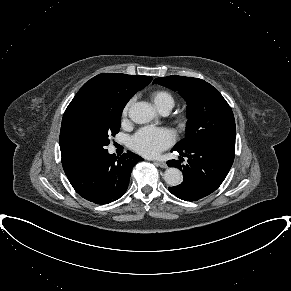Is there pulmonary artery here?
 <instances>
[{"label":"pulmonary artery","mask_w":291,"mask_h":291,"mask_svg":"<svg viewBox=\"0 0 291 291\" xmlns=\"http://www.w3.org/2000/svg\"><path fill=\"white\" fill-rule=\"evenodd\" d=\"M163 114H167L169 112V110H163L161 111Z\"/></svg>","instance_id":"e3ab8cb5"}]
</instances>
